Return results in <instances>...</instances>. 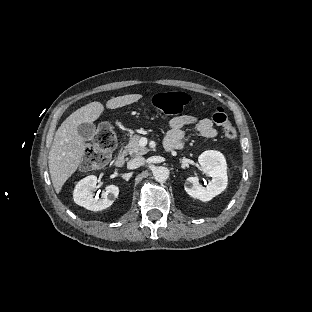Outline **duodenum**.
Segmentation results:
<instances>
[{
	"label": "duodenum",
	"instance_id": "1",
	"mask_svg": "<svg viewBox=\"0 0 312 312\" xmlns=\"http://www.w3.org/2000/svg\"><path fill=\"white\" fill-rule=\"evenodd\" d=\"M165 148L168 150V151H175L176 150V147L175 146H171V145H167L165 146ZM126 153L124 151H119L115 158H114V165L117 167V168H123L125 163H126Z\"/></svg>",
	"mask_w": 312,
	"mask_h": 312
}]
</instances>
